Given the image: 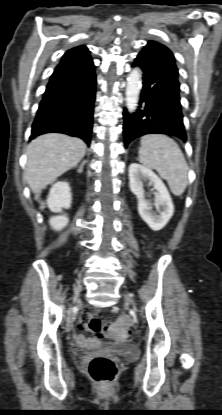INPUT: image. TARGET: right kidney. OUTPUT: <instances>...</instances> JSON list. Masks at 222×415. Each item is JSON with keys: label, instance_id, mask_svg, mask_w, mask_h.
<instances>
[{"label": "right kidney", "instance_id": "obj_1", "mask_svg": "<svg viewBox=\"0 0 222 415\" xmlns=\"http://www.w3.org/2000/svg\"><path fill=\"white\" fill-rule=\"evenodd\" d=\"M67 182L58 181L50 189L47 198L48 208L55 213H61L63 208L71 206V192ZM69 219L66 215L51 217L49 223L54 230H61L68 224Z\"/></svg>", "mask_w": 222, "mask_h": 415}]
</instances>
